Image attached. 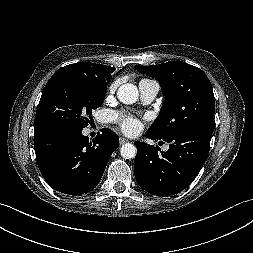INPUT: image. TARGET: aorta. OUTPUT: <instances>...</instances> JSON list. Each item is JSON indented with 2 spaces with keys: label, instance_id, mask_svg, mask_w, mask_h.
I'll use <instances>...</instances> for the list:
<instances>
[{
  "label": "aorta",
  "instance_id": "aorta-1",
  "mask_svg": "<svg viewBox=\"0 0 253 253\" xmlns=\"http://www.w3.org/2000/svg\"><path fill=\"white\" fill-rule=\"evenodd\" d=\"M139 96L138 89L134 84L126 83L119 87L117 97L124 104H133ZM120 154L125 159H132L136 155V147L131 143L122 145Z\"/></svg>",
  "mask_w": 253,
  "mask_h": 253
}]
</instances>
